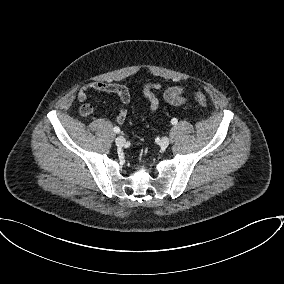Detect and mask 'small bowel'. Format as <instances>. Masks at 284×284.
I'll return each mask as SVG.
<instances>
[{
  "mask_svg": "<svg viewBox=\"0 0 284 284\" xmlns=\"http://www.w3.org/2000/svg\"><path fill=\"white\" fill-rule=\"evenodd\" d=\"M161 89H164L163 99L166 103L172 106H181L186 103L187 97L185 95V88L183 86L165 87L163 83L159 82L147 83L144 85L142 93L149 102L148 111L150 113H155L160 107V99L157 97L155 92ZM90 91L117 95L120 99L121 106L116 117V122L118 124L124 123L130 103V93L126 86L102 81H93L84 85L78 92V99L79 101L83 102L82 106L80 107V114L83 117L91 115L95 110L92 104L86 103L88 93Z\"/></svg>",
  "mask_w": 284,
  "mask_h": 284,
  "instance_id": "small-bowel-1",
  "label": "small bowel"
}]
</instances>
